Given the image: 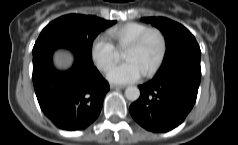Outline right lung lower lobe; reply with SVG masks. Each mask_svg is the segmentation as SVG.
I'll return each instance as SVG.
<instances>
[{"label":"right lung lower lobe","mask_w":238,"mask_h":145,"mask_svg":"<svg viewBox=\"0 0 238 145\" xmlns=\"http://www.w3.org/2000/svg\"><path fill=\"white\" fill-rule=\"evenodd\" d=\"M55 49L33 54V84L43 113L60 129L82 130L98 117L108 82L89 59L77 52L73 67L65 72L52 65Z\"/></svg>","instance_id":"obj_1"}]
</instances>
